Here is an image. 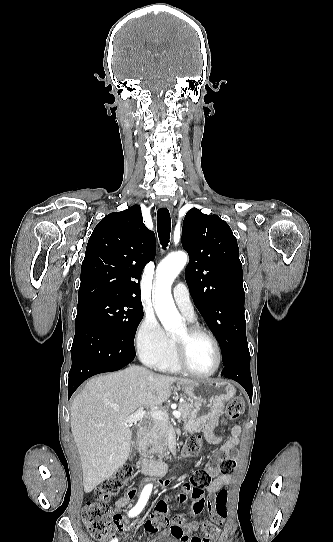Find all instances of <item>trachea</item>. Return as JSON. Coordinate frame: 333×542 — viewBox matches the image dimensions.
<instances>
[{"instance_id": "1", "label": "trachea", "mask_w": 333, "mask_h": 542, "mask_svg": "<svg viewBox=\"0 0 333 542\" xmlns=\"http://www.w3.org/2000/svg\"><path fill=\"white\" fill-rule=\"evenodd\" d=\"M157 228L159 239L163 247L168 245L171 231V218L167 208H160L157 212Z\"/></svg>"}]
</instances>
